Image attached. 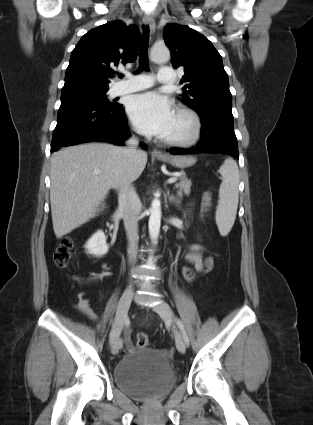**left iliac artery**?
Here are the masks:
<instances>
[{"label":"left iliac artery","instance_id":"44dca946","mask_svg":"<svg viewBox=\"0 0 313 425\" xmlns=\"http://www.w3.org/2000/svg\"><path fill=\"white\" fill-rule=\"evenodd\" d=\"M177 325H178V327H179V329L182 333V336H183V339H184L186 345H189V337H188L186 330L184 328V325H183V323L180 319H177Z\"/></svg>","mask_w":313,"mask_h":425}]
</instances>
